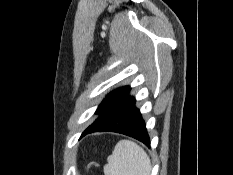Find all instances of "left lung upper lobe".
I'll use <instances>...</instances> for the list:
<instances>
[{"label":"left lung upper lobe","mask_w":233,"mask_h":175,"mask_svg":"<svg viewBox=\"0 0 233 175\" xmlns=\"http://www.w3.org/2000/svg\"><path fill=\"white\" fill-rule=\"evenodd\" d=\"M128 90H129V87L126 86V87H121L119 89H116L110 94H108L105 97V99L102 101V103L99 105L96 111V114L100 113V116L94 122H96L99 118H101L110 109V107Z\"/></svg>","instance_id":"1"}]
</instances>
